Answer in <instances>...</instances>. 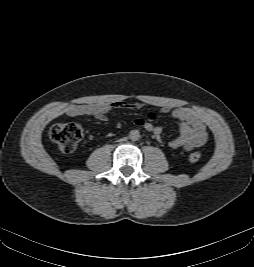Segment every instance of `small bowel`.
Listing matches in <instances>:
<instances>
[{
    "mask_svg": "<svg viewBox=\"0 0 254 267\" xmlns=\"http://www.w3.org/2000/svg\"><path fill=\"white\" fill-rule=\"evenodd\" d=\"M143 107L144 104L141 102L127 103L124 101L74 104L67 109L66 115L71 118L92 116L104 121L106 115L114 109L126 108L139 111ZM161 112H170L172 117L179 122V135L169 142L171 148L190 151L205 144L208 136L206 125L196 112L184 107L171 110L166 106L161 108ZM155 119V113L149 112L144 117L135 119L134 124L152 133L157 140H161L163 129L154 124Z\"/></svg>",
    "mask_w": 254,
    "mask_h": 267,
    "instance_id": "c3829d8e",
    "label": "small bowel"
}]
</instances>
